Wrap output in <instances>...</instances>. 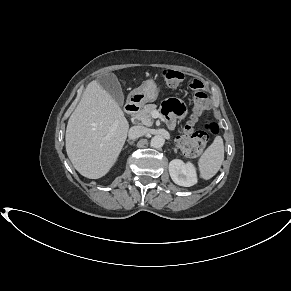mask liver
Here are the masks:
<instances>
[{"mask_svg": "<svg viewBox=\"0 0 291 291\" xmlns=\"http://www.w3.org/2000/svg\"><path fill=\"white\" fill-rule=\"evenodd\" d=\"M129 124L112 96L93 80L71 114L66 128V152L84 177L105 176L116 162Z\"/></svg>", "mask_w": 291, "mask_h": 291, "instance_id": "obj_1", "label": "liver"}]
</instances>
